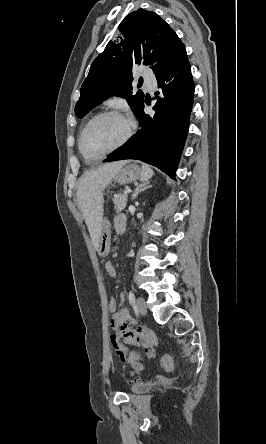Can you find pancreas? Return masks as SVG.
I'll return each instance as SVG.
<instances>
[{"label": "pancreas", "instance_id": "1", "mask_svg": "<svg viewBox=\"0 0 266 444\" xmlns=\"http://www.w3.org/2000/svg\"><path fill=\"white\" fill-rule=\"evenodd\" d=\"M114 209L117 213L125 209L127 205V195L115 194L113 197Z\"/></svg>", "mask_w": 266, "mask_h": 444}]
</instances>
